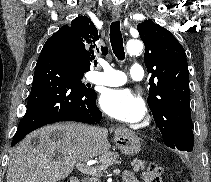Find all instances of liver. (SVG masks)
I'll return each instance as SVG.
<instances>
[{"label":"liver","mask_w":211,"mask_h":182,"mask_svg":"<svg viewBox=\"0 0 211 182\" xmlns=\"http://www.w3.org/2000/svg\"><path fill=\"white\" fill-rule=\"evenodd\" d=\"M57 131L58 139L51 133ZM108 130L80 123L42 127L27 135L9 155L7 182H57L68 177L75 165L107 153ZM39 142L32 145V139Z\"/></svg>","instance_id":"6515ba94"}]
</instances>
